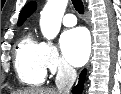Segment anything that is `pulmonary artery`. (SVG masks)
<instances>
[{"label": "pulmonary artery", "instance_id": "obj_1", "mask_svg": "<svg viewBox=\"0 0 121 94\" xmlns=\"http://www.w3.org/2000/svg\"><path fill=\"white\" fill-rule=\"evenodd\" d=\"M62 21L66 27H72L77 24V18L72 13L65 14Z\"/></svg>", "mask_w": 121, "mask_h": 94}]
</instances>
